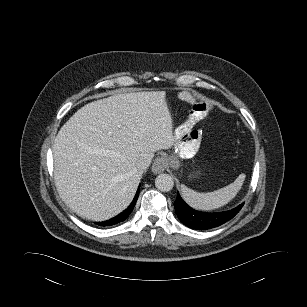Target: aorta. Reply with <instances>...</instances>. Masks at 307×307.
<instances>
[{
	"label": "aorta",
	"instance_id": "obj_1",
	"mask_svg": "<svg viewBox=\"0 0 307 307\" xmlns=\"http://www.w3.org/2000/svg\"><path fill=\"white\" fill-rule=\"evenodd\" d=\"M155 186L162 192H168L172 190L174 181L169 174H159L155 180Z\"/></svg>",
	"mask_w": 307,
	"mask_h": 307
}]
</instances>
